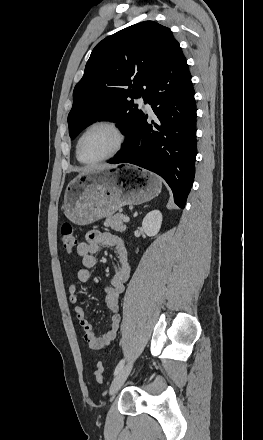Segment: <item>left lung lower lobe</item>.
Returning <instances> with one entry per match:
<instances>
[{
  "label": "left lung lower lobe",
  "mask_w": 263,
  "mask_h": 440,
  "mask_svg": "<svg viewBox=\"0 0 263 440\" xmlns=\"http://www.w3.org/2000/svg\"><path fill=\"white\" fill-rule=\"evenodd\" d=\"M144 100L158 120L149 124L148 115L142 113L127 133L123 148L108 163H131L160 175L183 209L195 175L196 106L179 43L170 48Z\"/></svg>",
  "instance_id": "obj_1"
}]
</instances>
